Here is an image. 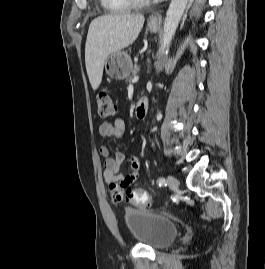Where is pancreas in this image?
<instances>
[{
    "mask_svg": "<svg viewBox=\"0 0 265 269\" xmlns=\"http://www.w3.org/2000/svg\"><path fill=\"white\" fill-rule=\"evenodd\" d=\"M139 72V68L137 65H134V68L132 69V74L128 77V81L130 82L134 77L137 76V73Z\"/></svg>",
    "mask_w": 265,
    "mask_h": 269,
    "instance_id": "pancreas-1",
    "label": "pancreas"
}]
</instances>
